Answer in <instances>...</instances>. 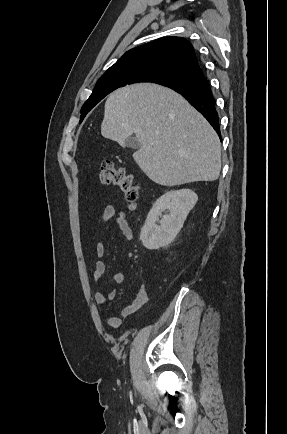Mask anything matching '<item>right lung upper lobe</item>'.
I'll list each match as a JSON object with an SVG mask.
<instances>
[{
  "mask_svg": "<svg viewBox=\"0 0 287 434\" xmlns=\"http://www.w3.org/2000/svg\"><path fill=\"white\" fill-rule=\"evenodd\" d=\"M199 66L191 43L181 37H163L126 52L101 78L146 69L164 70L181 77ZM168 81L161 85H170Z\"/></svg>",
  "mask_w": 287,
  "mask_h": 434,
  "instance_id": "obj_1",
  "label": "right lung upper lobe"
}]
</instances>
